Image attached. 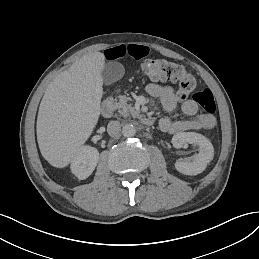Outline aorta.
Listing matches in <instances>:
<instances>
[{
	"mask_svg": "<svg viewBox=\"0 0 259 259\" xmlns=\"http://www.w3.org/2000/svg\"><path fill=\"white\" fill-rule=\"evenodd\" d=\"M122 134L124 137H133L136 134L135 126L132 124H126L122 128Z\"/></svg>",
	"mask_w": 259,
	"mask_h": 259,
	"instance_id": "762f6f07",
	"label": "aorta"
}]
</instances>
